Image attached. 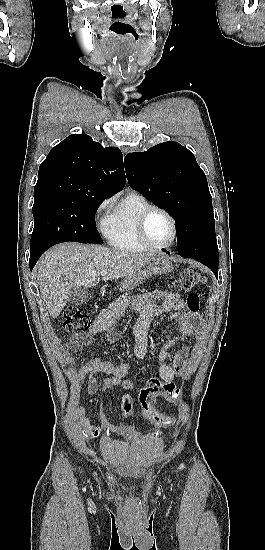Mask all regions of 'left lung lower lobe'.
<instances>
[{
  "mask_svg": "<svg viewBox=\"0 0 265 550\" xmlns=\"http://www.w3.org/2000/svg\"><path fill=\"white\" fill-rule=\"evenodd\" d=\"M181 256L198 260L202 264L208 266L213 271L215 276L218 277L219 258L215 252L211 250H203L195 253L182 254Z\"/></svg>",
  "mask_w": 265,
  "mask_h": 550,
  "instance_id": "left-lung-lower-lobe-1",
  "label": "left lung lower lobe"
}]
</instances>
